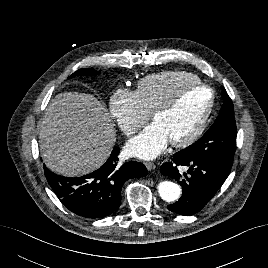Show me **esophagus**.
Here are the masks:
<instances>
[{"instance_id":"esophagus-1","label":"esophagus","mask_w":268,"mask_h":268,"mask_svg":"<svg viewBox=\"0 0 268 268\" xmlns=\"http://www.w3.org/2000/svg\"><path fill=\"white\" fill-rule=\"evenodd\" d=\"M144 164H145V166H146L148 171H151V170H153L155 168V165L152 162L147 161Z\"/></svg>"}]
</instances>
